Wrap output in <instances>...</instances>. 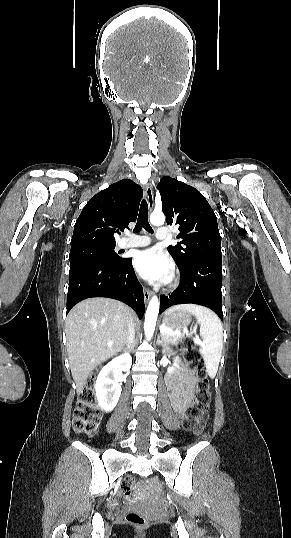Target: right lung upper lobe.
Instances as JSON below:
<instances>
[{
    "label": "right lung upper lobe",
    "instance_id": "cb5924a9",
    "mask_svg": "<svg viewBox=\"0 0 291 538\" xmlns=\"http://www.w3.org/2000/svg\"><path fill=\"white\" fill-rule=\"evenodd\" d=\"M142 188L125 179L94 195L74 225L71 249L89 245H116L114 233L137 218Z\"/></svg>",
    "mask_w": 291,
    "mask_h": 538
}]
</instances>
